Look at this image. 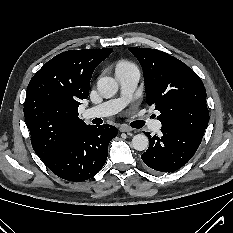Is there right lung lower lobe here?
I'll return each mask as SVG.
<instances>
[{
  "label": "right lung lower lobe",
  "instance_id": "obj_1",
  "mask_svg": "<svg viewBox=\"0 0 233 233\" xmlns=\"http://www.w3.org/2000/svg\"><path fill=\"white\" fill-rule=\"evenodd\" d=\"M117 133V128L109 124L87 125L65 138L55 151L41 159L62 179L87 180L104 166L109 142Z\"/></svg>",
  "mask_w": 233,
  "mask_h": 233
}]
</instances>
